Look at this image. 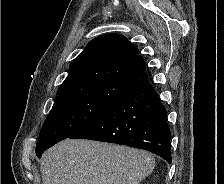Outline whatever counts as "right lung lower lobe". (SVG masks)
Masks as SVG:
<instances>
[{"mask_svg": "<svg viewBox=\"0 0 224 184\" xmlns=\"http://www.w3.org/2000/svg\"><path fill=\"white\" fill-rule=\"evenodd\" d=\"M68 138L127 145L172 162L167 112L148 82L130 89L98 118Z\"/></svg>", "mask_w": 224, "mask_h": 184, "instance_id": "1", "label": "right lung lower lobe"}]
</instances>
